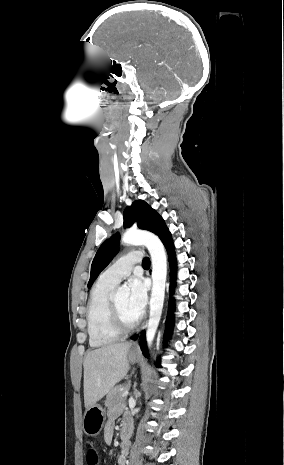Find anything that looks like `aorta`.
<instances>
[{
  "label": "aorta",
  "instance_id": "obj_1",
  "mask_svg": "<svg viewBox=\"0 0 284 465\" xmlns=\"http://www.w3.org/2000/svg\"><path fill=\"white\" fill-rule=\"evenodd\" d=\"M121 241L125 244L145 245L151 255L153 285L150 299V315L146 331L147 344L151 347L161 318L165 297L167 275L166 252L160 239L156 235L146 231H126ZM128 292L129 289L123 286L117 290L116 295L124 296L127 295Z\"/></svg>",
  "mask_w": 284,
  "mask_h": 465
}]
</instances>
